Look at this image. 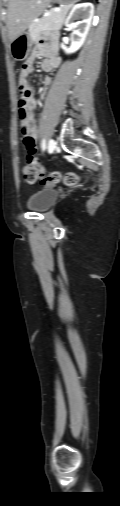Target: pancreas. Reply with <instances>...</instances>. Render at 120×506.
<instances>
[{
	"mask_svg": "<svg viewBox=\"0 0 120 506\" xmlns=\"http://www.w3.org/2000/svg\"><path fill=\"white\" fill-rule=\"evenodd\" d=\"M68 11V7L60 8L59 11L51 9L46 17L41 18L37 22H32L29 25V34L32 39H36L41 33L46 31H58L62 27Z\"/></svg>",
	"mask_w": 120,
	"mask_h": 506,
	"instance_id": "pancreas-1",
	"label": "pancreas"
}]
</instances>
